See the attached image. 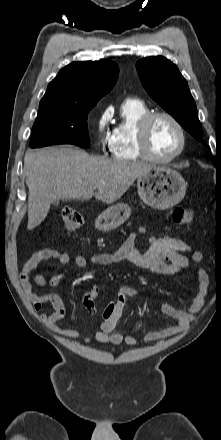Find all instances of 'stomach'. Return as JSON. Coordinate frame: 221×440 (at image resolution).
Returning a JSON list of instances; mask_svg holds the SVG:
<instances>
[{"label":"stomach","instance_id":"0dacf381","mask_svg":"<svg viewBox=\"0 0 221 440\" xmlns=\"http://www.w3.org/2000/svg\"><path fill=\"white\" fill-rule=\"evenodd\" d=\"M187 183L176 170L165 166H153L138 177L137 190L142 201L156 209H168L185 196ZM131 208L118 203L107 208L95 221V227L108 231L119 227L130 216Z\"/></svg>","mask_w":221,"mask_h":440}]
</instances>
